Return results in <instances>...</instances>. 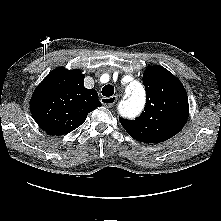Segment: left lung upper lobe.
Listing matches in <instances>:
<instances>
[{
	"mask_svg": "<svg viewBox=\"0 0 221 221\" xmlns=\"http://www.w3.org/2000/svg\"><path fill=\"white\" fill-rule=\"evenodd\" d=\"M146 90L144 112L135 120L119 117L127 133L137 141L159 143L176 135L185 125L189 105L182 83L161 66L146 69L143 74Z\"/></svg>",
	"mask_w": 221,
	"mask_h": 221,
	"instance_id": "5c2ea615",
	"label": "left lung upper lobe"
}]
</instances>
